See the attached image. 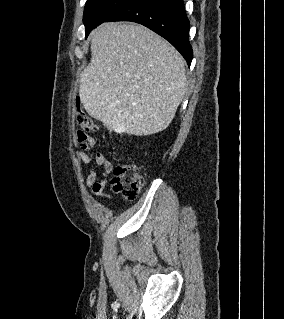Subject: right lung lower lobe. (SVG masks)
Here are the masks:
<instances>
[{
  "mask_svg": "<svg viewBox=\"0 0 284 319\" xmlns=\"http://www.w3.org/2000/svg\"><path fill=\"white\" fill-rule=\"evenodd\" d=\"M111 21H133L148 27L168 40L190 66L193 51L183 0H133L105 22Z\"/></svg>",
  "mask_w": 284,
  "mask_h": 319,
  "instance_id": "98d812e1",
  "label": "right lung lower lobe"
}]
</instances>
